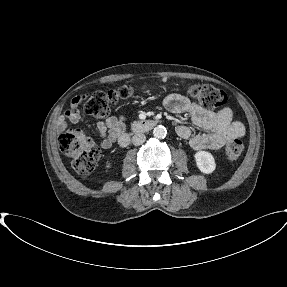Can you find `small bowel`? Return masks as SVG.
<instances>
[{
	"mask_svg": "<svg viewBox=\"0 0 287 287\" xmlns=\"http://www.w3.org/2000/svg\"><path fill=\"white\" fill-rule=\"evenodd\" d=\"M82 97L72 99L70 107L58 118L60 131L71 130L67 123H77L81 120L78 109ZM165 108L172 113H189L192 122L203 134L192 135V130L187 125H179L176 128L177 135L182 139H188L190 146L195 150L220 149L233 138L244 134V126L239 121L233 120V112L229 107L219 111H209L192 103L188 98L179 94H170L164 99ZM100 143L103 148L111 147L124 132V117L109 116L99 121L96 126Z\"/></svg>",
	"mask_w": 287,
	"mask_h": 287,
	"instance_id": "c3829d8e",
	"label": "small bowel"
}]
</instances>
